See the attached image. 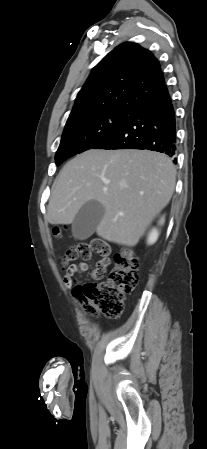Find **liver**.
<instances>
[{
    "mask_svg": "<svg viewBox=\"0 0 207 449\" xmlns=\"http://www.w3.org/2000/svg\"><path fill=\"white\" fill-rule=\"evenodd\" d=\"M175 180V166L165 154L91 149L61 169L53 184L47 220L54 225L71 224L80 208L95 200L105 208L97 235L135 246L169 203Z\"/></svg>",
    "mask_w": 207,
    "mask_h": 449,
    "instance_id": "liver-1",
    "label": "liver"
}]
</instances>
